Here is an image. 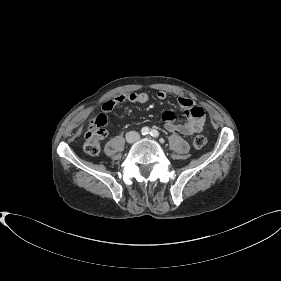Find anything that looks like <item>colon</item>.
Here are the masks:
<instances>
[{"label":"colon","instance_id":"5ec220e1","mask_svg":"<svg viewBox=\"0 0 281 281\" xmlns=\"http://www.w3.org/2000/svg\"><path fill=\"white\" fill-rule=\"evenodd\" d=\"M107 115L104 113L92 117L85 132L84 149L91 156H97L101 151L100 141L106 136ZM206 143L203 135H197L193 139L196 148H202Z\"/></svg>","mask_w":281,"mask_h":281}]
</instances>
